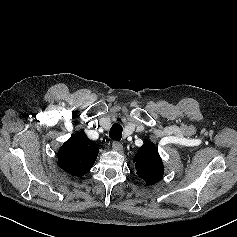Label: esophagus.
<instances>
[{"mask_svg":"<svg viewBox=\"0 0 237 237\" xmlns=\"http://www.w3.org/2000/svg\"><path fill=\"white\" fill-rule=\"evenodd\" d=\"M112 147L114 150L118 151V152H122L123 151V146L120 142L118 141H113L112 142Z\"/></svg>","mask_w":237,"mask_h":237,"instance_id":"obj_1","label":"esophagus"}]
</instances>
